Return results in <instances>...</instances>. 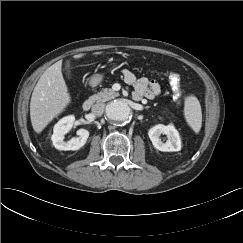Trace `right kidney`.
I'll return each mask as SVG.
<instances>
[{
	"mask_svg": "<svg viewBox=\"0 0 243 243\" xmlns=\"http://www.w3.org/2000/svg\"><path fill=\"white\" fill-rule=\"evenodd\" d=\"M74 122L75 117L73 115H69L62 118L55 124L51 140L56 149L64 151H75L85 145L89 137V131L86 129H79L77 131L78 137H74L67 142L64 141L65 134H67L71 130Z\"/></svg>",
	"mask_w": 243,
	"mask_h": 243,
	"instance_id": "ca27d5eb",
	"label": "right kidney"
}]
</instances>
